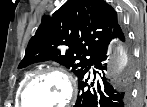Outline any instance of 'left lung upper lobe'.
I'll return each instance as SVG.
<instances>
[{
    "label": "left lung upper lobe",
    "instance_id": "1",
    "mask_svg": "<svg viewBox=\"0 0 147 107\" xmlns=\"http://www.w3.org/2000/svg\"><path fill=\"white\" fill-rule=\"evenodd\" d=\"M118 24L117 12L103 0H68L43 17L18 68L54 60L79 78ZM90 56V57H88Z\"/></svg>",
    "mask_w": 147,
    "mask_h": 107
}]
</instances>
